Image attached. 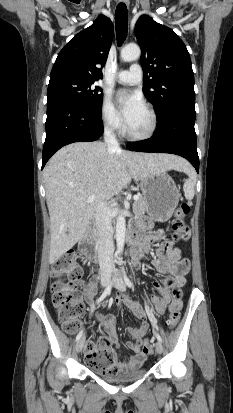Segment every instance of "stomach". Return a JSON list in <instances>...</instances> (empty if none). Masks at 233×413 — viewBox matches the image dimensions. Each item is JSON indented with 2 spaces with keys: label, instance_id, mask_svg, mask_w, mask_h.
<instances>
[{
  "label": "stomach",
  "instance_id": "obj_1",
  "mask_svg": "<svg viewBox=\"0 0 233 413\" xmlns=\"http://www.w3.org/2000/svg\"><path fill=\"white\" fill-rule=\"evenodd\" d=\"M140 187L147 202V213L159 222L170 219L180 198L174 180L165 172H155L142 178Z\"/></svg>",
  "mask_w": 233,
  "mask_h": 413
}]
</instances>
